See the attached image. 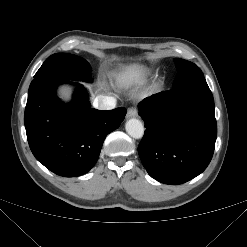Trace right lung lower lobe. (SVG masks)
I'll return each mask as SVG.
<instances>
[{
    "label": "right lung lower lobe",
    "mask_w": 247,
    "mask_h": 247,
    "mask_svg": "<svg viewBox=\"0 0 247 247\" xmlns=\"http://www.w3.org/2000/svg\"><path fill=\"white\" fill-rule=\"evenodd\" d=\"M63 83L69 81L53 76L31 82L24 123L35 158L57 175L75 177L95 165L106 136L120 126L126 109H93L84 89L65 105L55 94Z\"/></svg>",
    "instance_id": "obj_1"
}]
</instances>
